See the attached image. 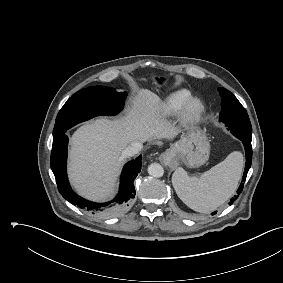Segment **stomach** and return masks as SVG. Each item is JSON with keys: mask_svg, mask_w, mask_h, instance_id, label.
Returning <instances> with one entry per match:
<instances>
[{"mask_svg": "<svg viewBox=\"0 0 283 283\" xmlns=\"http://www.w3.org/2000/svg\"><path fill=\"white\" fill-rule=\"evenodd\" d=\"M210 154V144L204 132L199 129L189 130L173 146L162 154L166 162H181L189 167L203 165Z\"/></svg>", "mask_w": 283, "mask_h": 283, "instance_id": "obj_1", "label": "stomach"}]
</instances>
